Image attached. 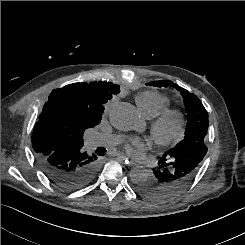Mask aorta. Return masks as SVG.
Returning <instances> with one entry per match:
<instances>
[{"mask_svg": "<svg viewBox=\"0 0 245 245\" xmlns=\"http://www.w3.org/2000/svg\"><path fill=\"white\" fill-rule=\"evenodd\" d=\"M110 122L116 129L122 131L137 130L143 125V120L135 106L127 102L118 103L111 109ZM130 176L135 183H142L152 177V172L138 166L131 170Z\"/></svg>", "mask_w": 245, "mask_h": 245, "instance_id": "obj_1", "label": "aorta"}]
</instances>
